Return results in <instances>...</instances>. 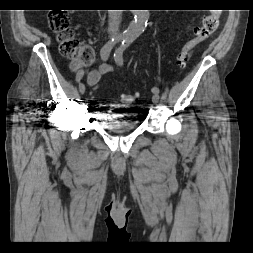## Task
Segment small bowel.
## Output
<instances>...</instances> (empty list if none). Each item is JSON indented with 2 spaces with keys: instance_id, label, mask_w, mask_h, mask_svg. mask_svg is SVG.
Listing matches in <instances>:
<instances>
[{
  "instance_id": "c3829d8e",
  "label": "small bowel",
  "mask_w": 253,
  "mask_h": 253,
  "mask_svg": "<svg viewBox=\"0 0 253 253\" xmlns=\"http://www.w3.org/2000/svg\"><path fill=\"white\" fill-rule=\"evenodd\" d=\"M114 68L110 64H101L97 68L91 70L87 75V83L93 89H97L101 85V79L106 74L113 73ZM84 74L83 70L78 72V77H81Z\"/></svg>"
}]
</instances>
